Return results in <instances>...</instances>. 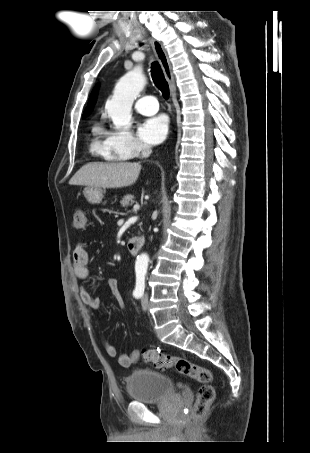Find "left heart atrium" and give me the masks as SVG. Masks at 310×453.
Listing matches in <instances>:
<instances>
[{
    "mask_svg": "<svg viewBox=\"0 0 310 453\" xmlns=\"http://www.w3.org/2000/svg\"><path fill=\"white\" fill-rule=\"evenodd\" d=\"M167 131L168 120L166 116L159 115L144 120L138 128V135L147 144H158L165 138Z\"/></svg>",
    "mask_w": 310,
    "mask_h": 453,
    "instance_id": "left-heart-atrium-1",
    "label": "left heart atrium"
}]
</instances>
